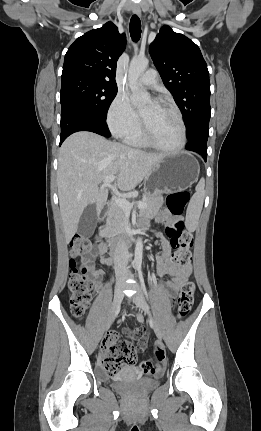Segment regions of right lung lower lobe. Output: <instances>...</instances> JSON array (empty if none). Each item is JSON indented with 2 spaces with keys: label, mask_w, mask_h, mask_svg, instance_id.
<instances>
[{
  "label": "right lung lower lobe",
  "mask_w": 261,
  "mask_h": 431,
  "mask_svg": "<svg viewBox=\"0 0 261 431\" xmlns=\"http://www.w3.org/2000/svg\"><path fill=\"white\" fill-rule=\"evenodd\" d=\"M90 131L109 137L110 132L106 120L88 116L71 106H62L60 145L72 133Z\"/></svg>",
  "instance_id": "98d812e1"
}]
</instances>
